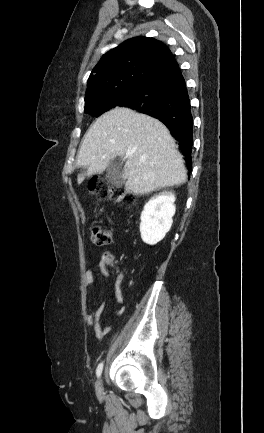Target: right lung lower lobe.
<instances>
[{
    "mask_svg": "<svg viewBox=\"0 0 264 433\" xmlns=\"http://www.w3.org/2000/svg\"><path fill=\"white\" fill-rule=\"evenodd\" d=\"M124 107L148 114L164 123L179 141L191 170L193 118L186 83L174 56L147 77L138 93Z\"/></svg>",
    "mask_w": 264,
    "mask_h": 433,
    "instance_id": "1",
    "label": "right lung lower lobe"
}]
</instances>
